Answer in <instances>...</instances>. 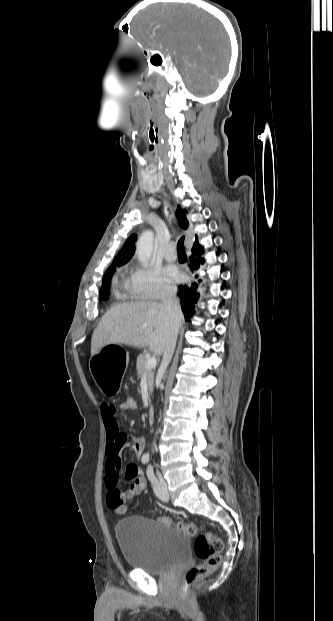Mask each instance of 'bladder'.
<instances>
[{
  "instance_id": "31cf9c89",
  "label": "bladder",
  "mask_w": 333,
  "mask_h": 621,
  "mask_svg": "<svg viewBox=\"0 0 333 621\" xmlns=\"http://www.w3.org/2000/svg\"><path fill=\"white\" fill-rule=\"evenodd\" d=\"M115 534L126 564L148 574L169 573L190 550L188 536L158 519L135 515L119 520Z\"/></svg>"
}]
</instances>
